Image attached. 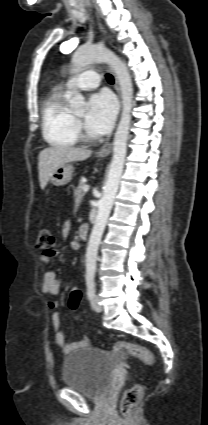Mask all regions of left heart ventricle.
I'll list each match as a JSON object with an SVG mask.
<instances>
[{"instance_id": "left-heart-ventricle-1", "label": "left heart ventricle", "mask_w": 208, "mask_h": 425, "mask_svg": "<svg viewBox=\"0 0 208 425\" xmlns=\"http://www.w3.org/2000/svg\"><path fill=\"white\" fill-rule=\"evenodd\" d=\"M83 116H84V113H78V114H76V117L79 118V119H82Z\"/></svg>"}]
</instances>
